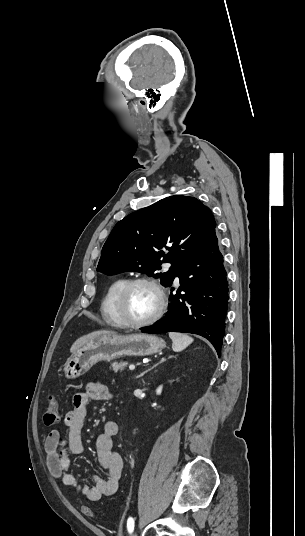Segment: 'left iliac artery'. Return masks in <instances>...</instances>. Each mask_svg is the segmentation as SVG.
Listing matches in <instances>:
<instances>
[{
	"mask_svg": "<svg viewBox=\"0 0 305 536\" xmlns=\"http://www.w3.org/2000/svg\"><path fill=\"white\" fill-rule=\"evenodd\" d=\"M127 529L129 533H132L134 530V520L132 517H129L127 520Z\"/></svg>",
	"mask_w": 305,
	"mask_h": 536,
	"instance_id": "1",
	"label": "left iliac artery"
}]
</instances>
